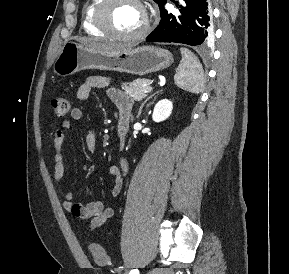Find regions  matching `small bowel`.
<instances>
[{"label":"small bowel","instance_id":"small-bowel-1","mask_svg":"<svg viewBox=\"0 0 289 274\" xmlns=\"http://www.w3.org/2000/svg\"><path fill=\"white\" fill-rule=\"evenodd\" d=\"M95 89H107V94L111 101L115 104L119 114L126 112L131 115L132 100L119 89L110 87V82L106 77L91 76L88 77L77 90V98L80 101H86L91 92ZM70 117L74 121H80L84 117V112L80 107H74L70 111ZM70 127V121L63 122L55 131L53 136L54 154L52 156L53 175L55 181L59 184L65 172L64 155L62 147L66 138L67 131ZM85 145L90 153H94L97 148V138L93 131H89L85 138ZM122 145V142H121ZM109 172L114 176V186L111 195L117 197L124 184V178L128 172V163L125 159H121L119 166L112 165ZM64 199L63 207L72 213L80 221H89L90 231H94L101 227L107 220L114 216V208L105 205L102 201H91L87 203H79L73 200L71 191L59 189Z\"/></svg>","mask_w":289,"mask_h":274}]
</instances>
